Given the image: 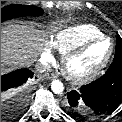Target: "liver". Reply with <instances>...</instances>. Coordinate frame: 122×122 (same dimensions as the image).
Wrapping results in <instances>:
<instances>
[{
  "instance_id": "1",
  "label": "liver",
  "mask_w": 122,
  "mask_h": 122,
  "mask_svg": "<svg viewBox=\"0 0 122 122\" xmlns=\"http://www.w3.org/2000/svg\"><path fill=\"white\" fill-rule=\"evenodd\" d=\"M46 37L47 33L33 23L1 27V72L33 64L43 50Z\"/></svg>"
}]
</instances>
